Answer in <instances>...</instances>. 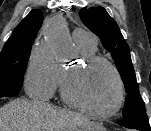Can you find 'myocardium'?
Listing matches in <instances>:
<instances>
[{"label": "myocardium", "mask_w": 151, "mask_h": 131, "mask_svg": "<svg viewBox=\"0 0 151 131\" xmlns=\"http://www.w3.org/2000/svg\"><path fill=\"white\" fill-rule=\"evenodd\" d=\"M96 64H103L109 68L111 73L113 74L116 83H117V99L114 106L105 112L95 111L85 105L81 100H79L73 93L71 88V83L78 76L82 73L85 69H88ZM62 94L65 101L71 105L72 107L80 110L81 112L95 117L99 119L110 118L116 115L119 110L121 109L124 99H125V87L122 80V77L116 67L106 58L98 55H90V56H83L82 62L69 70H67L63 83H62Z\"/></svg>", "instance_id": "obj_1"}]
</instances>
